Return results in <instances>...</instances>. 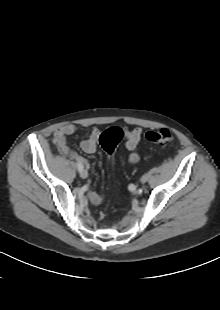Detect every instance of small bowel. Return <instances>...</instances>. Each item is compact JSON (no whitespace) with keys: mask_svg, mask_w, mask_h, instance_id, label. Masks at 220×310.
Masks as SVG:
<instances>
[{"mask_svg":"<svg viewBox=\"0 0 220 310\" xmlns=\"http://www.w3.org/2000/svg\"><path fill=\"white\" fill-rule=\"evenodd\" d=\"M76 130L77 128L73 124H66L58 128L54 132L53 142L63 154L75 159L77 162H81L82 165L89 168V162L68 146L67 137L73 135ZM99 136V129L94 128L89 136L81 142L80 147L82 151L88 154L94 153L97 148ZM124 137L126 139L125 147L130 152L128 160L131 164H135L139 161V154L137 150L142 138V130L138 127L133 129H124ZM88 197L92 204L98 205L102 202V197L95 192L89 193Z\"/></svg>","mask_w":220,"mask_h":310,"instance_id":"obj_1","label":"small bowel"}]
</instances>
